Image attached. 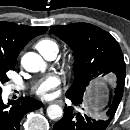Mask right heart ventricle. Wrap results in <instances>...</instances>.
I'll list each match as a JSON object with an SVG mask.
<instances>
[{
	"instance_id": "obj_1",
	"label": "right heart ventricle",
	"mask_w": 130,
	"mask_h": 130,
	"mask_svg": "<svg viewBox=\"0 0 130 130\" xmlns=\"http://www.w3.org/2000/svg\"><path fill=\"white\" fill-rule=\"evenodd\" d=\"M35 48L46 57L50 53L58 52V43L52 38H42L35 44Z\"/></svg>"
}]
</instances>
